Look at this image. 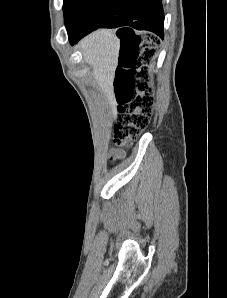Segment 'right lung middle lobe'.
<instances>
[{
	"label": "right lung middle lobe",
	"instance_id": "right-lung-middle-lobe-1",
	"mask_svg": "<svg viewBox=\"0 0 227 298\" xmlns=\"http://www.w3.org/2000/svg\"><path fill=\"white\" fill-rule=\"evenodd\" d=\"M108 0H64L63 10L68 34L77 32Z\"/></svg>",
	"mask_w": 227,
	"mask_h": 298
}]
</instances>
